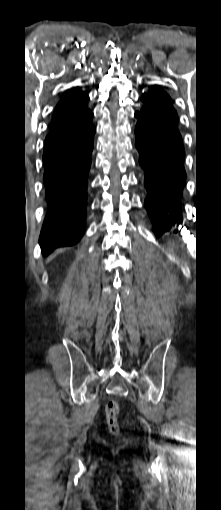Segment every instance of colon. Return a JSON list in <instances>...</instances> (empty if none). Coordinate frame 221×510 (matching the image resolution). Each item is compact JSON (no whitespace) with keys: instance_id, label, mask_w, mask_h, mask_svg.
Masks as SVG:
<instances>
[{"instance_id":"colon-1","label":"colon","mask_w":221,"mask_h":510,"mask_svg":"<svg viewBox=\"0 0 221 510\" xmlns=\"http://www.w3.org/2000/svg\"><path fill=\"white\" fill-rule=\"evenodd\" d=\"M120 412V405L116 400H110L105 408L106 423L112 433H117L119 430L118 415Z\"/></svg>"}]
</instances>
